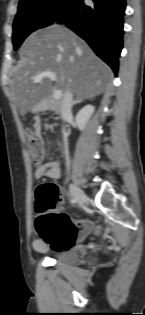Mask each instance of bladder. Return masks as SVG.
Returning <instances> with one entry per match:
<instances>
[{
  "mask_svg": "<svg viewBox=\"0 0 145 315\" xmlns=\"http://www.w3.org/2000/svg\"><path fill=\"white\" fill-rule=\"evenodd\" d=\"M78 249L76 247H69L60 249L54 256V260L58 263L74 265L79 260Z\"/></svg>",
  "mask_w": 145,
  "mask_h": 315,
  "instance_id": "31cf9c89",
  "label": "bladder"
}]
</instances>
